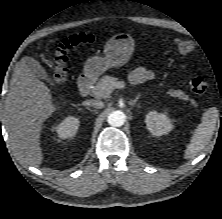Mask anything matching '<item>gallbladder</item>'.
<instances>
[{
    "instance_id": "obj_1",
    "label": "gallbladder",
    "mask_w": 222,
    "mask_h": 219,
    "mask_svg": "<svg viewBox=\"0 0 222 219\" xmlns=\"http://www.w3.org/2000/svg\"><path fill=\"white\" fill-rule=\"evenodd\" d=\"M27 65L32 70V72L41 80L47 82L50 85H54L52 79L47 74L46 70L40 65L38 61L33 58H29L27 61Z\"/></svg>"
}]
</instances>
